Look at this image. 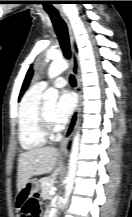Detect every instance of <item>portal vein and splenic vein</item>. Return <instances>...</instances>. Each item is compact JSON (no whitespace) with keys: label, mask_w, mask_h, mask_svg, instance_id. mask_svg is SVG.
I'll return each mask as SVG.
<instances>
[{"label":"portal vein and splenic vein","mask_w":132,"mask_h":217,"mask_svg":"<svg viewBox=\"0 0 132 217\" xmlns=\"http://www.w3.org/2000/svg\"><path fill=\"white\" fill-rule=\"evenodd\" d=\"M49 194H50V195H54V194H55V190H54V189H51L50 192H49Z\"/></svg>","instance_id":"1"}]
</instances>
